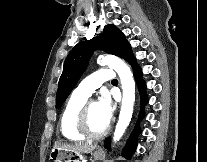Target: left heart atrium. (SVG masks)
Returning <instances> with one entry per match:
<instances>
[{
  "label": "left heart atrium",
  "mask_w": 207,
  "mask_h": 162,
  "mask_svg": "<svg viewBox=\"0 0 207 162\" xmlns=\"http://www.w3.org/2000/svg\"><path fill=\"white\" fill-rule=\"evenodd\" d=\"M98 104H99V107L102 111L104 118L109 123L114 113V104H113L111 96L108 93H104L101 96Z\"/></svg>",
  "instance_id": "obj_1"
}]
</instances>
